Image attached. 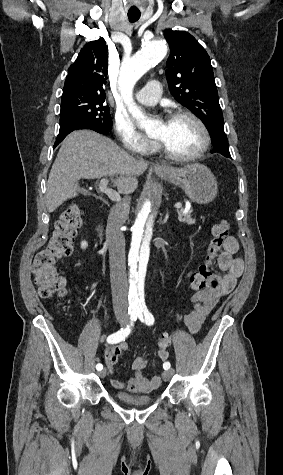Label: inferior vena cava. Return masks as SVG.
Returning <instances> with one entry per match:
<instances>
[{"label":"inferior vena cava","instance_id":"obj_1","mask_svg":"<svg viewBox=\"0 0 283 475\" xmlns=\"http://www.w3.org/2000/svg\"><path fill=\"white\" fill-rule=\"evenodd\" d=\"M130 198L111 208L107 220L106 241L109 247L110 279L115 313H127L128 281L125 263L124 218L130 210Z\"/></svg>","mask_w":283,"mask_h":475}]
</instances>
